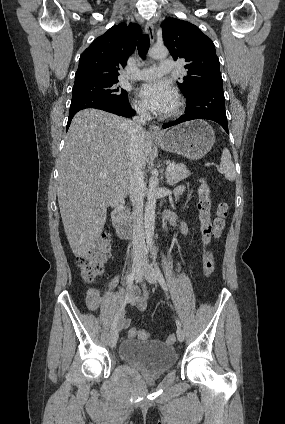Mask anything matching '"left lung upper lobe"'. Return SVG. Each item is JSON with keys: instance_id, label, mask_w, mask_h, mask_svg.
I'll list each match as a JSON object with an SVG mask.
<instances>
[{"instance_id": "obj_1", "label": "left lung upper lobe", "mask_w": 285, "mask_h": 424, "mask_svg": "<svg viewBox=\"0 0 285 424\" xmlns=\"http://www.w3.org/2000/svg\"><path fill=\"white\" fill-rule=\"evenodd\" d=\"M163 39L170 54L177 59H185L187 76L183 82H177L187 97L195 90L223 84L219 59L215 46L195 25L175 18H167L162 23Z\"/></svg>"}]
</instances>
